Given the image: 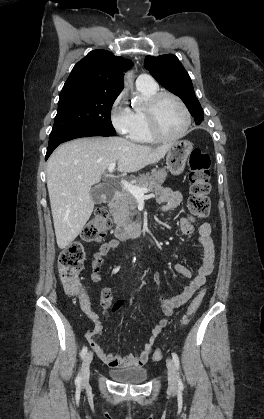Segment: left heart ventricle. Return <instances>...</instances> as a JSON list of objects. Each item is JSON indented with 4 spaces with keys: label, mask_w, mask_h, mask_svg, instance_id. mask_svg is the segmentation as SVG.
Masks as SVG:
<instances>
[{
    "label": "left heart ventricle",
    "mask_w": 264,
    "mask_h": 419,
    "mask_svg": "<svg viewBox=\"0 0 264 419\" xmlns=\"http://www.w3.org/2000/svg\"><path fill=\"white\" fill-rule=\"evenodd\" d=\"M158 121L163 134L175 136L182 131L185 117L176 101L164 97L158 106Z\"/></svg>",
    "instance_id": "obj_1"
}]
</instances>
